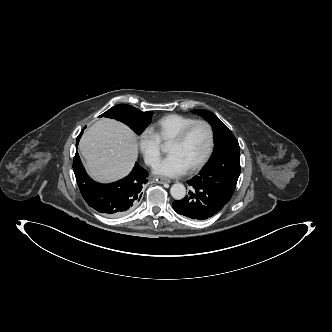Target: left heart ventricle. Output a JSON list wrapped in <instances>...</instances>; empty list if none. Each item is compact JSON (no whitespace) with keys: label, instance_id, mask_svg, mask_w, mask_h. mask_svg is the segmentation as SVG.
Listing matches in <instances>:
<instances>
[{"label":"left heart ventricle","instance_id":"left-heart-ventricle-1","mask_svg":"<svg viewBox=\"0 0 332 332\" xmlns=\"http://www.w3.org/2000/svg\"><path fill=\"white\" fill-rule=\"evenodd\" d=\"M209 139L208 128L198 124L189 131L183 142L170 143L168 152L177 154L190 167L204 155L209 145Z\"/></svg>","mask_w":332,"mask_h":332}]
</instances>
